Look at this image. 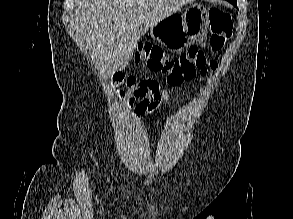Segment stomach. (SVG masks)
Instances as JSON below:
<instances>
[{"mask_svg": "<svg viewBox=\"0 0 293 219\" xmlns=\"http://www.w3.org/2000/svg\"><path fill=\"white\" fill-rule=\"evenodd\" d=\"M209 16L205 7L194 4L183 16L172 14L150 28L151 37L172 51H181L203 42L208 34Z\"/></svg>", "mask_w": 293, "mask_h": 219, "instance_id": "stomach-1", "label": "stomach"}]
</instances>
